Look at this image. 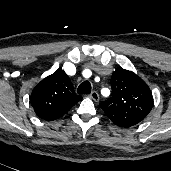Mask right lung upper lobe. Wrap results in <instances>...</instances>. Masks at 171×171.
<instances>
[{
	"instance_id": "right-lung-upper-lobe-1",
	"label": "right lung upper lobe",
	"mask_w": 171,
	"mask_h": 171,
	"mask_svg": "<svg viewBox=\"0 0 171 171\" xmlns=\"http://www.w3.org/2000/svg\"><path fill=\"white\" fill-rule=\"evenodd\" d=\"M81 99L61 68L38 83L30 98L36 115L43 120L60 118Z\"/></svg>"
}]
</instances>
